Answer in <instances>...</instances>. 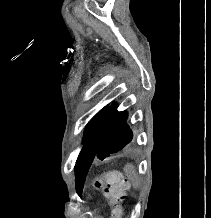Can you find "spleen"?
Here are the masks:
<instances>
[{"label":"spleen","mask_w":211,"mask_h":218,"mask_svg":"<svg viewBox=\"0 0 211 218\" xmlns=\"http://www.w3.org/2000/svg\"><path fill=\"white\" fill-rule=\"evenodd\" d=\"M125 172L128 180H130L134 188H139V178L136 176L134 166H132V164H127V166H125Z\"/></svg>","instance_id":"3e777b00"}]
</instances>
